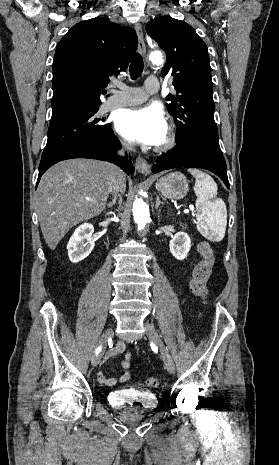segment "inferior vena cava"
<instances>
[{
	"mask_svg": "<svg viewBox=\"0 0 279 465\" xmlns=\"http://www.w3.org/2000/svg\"><path fill=\"white\" fill-rule=\"evenodd\" d=\"M122 145L125 150H130V151L134 150L133 143L123 142ZM119 153L122 154V152H119ZM121 173L122 172L118 167H116L115 165H111V175L109 179V192L114 194V196H117V195L120 196L119 193H122L120 190V183H119V178H118ZM121 204H122V199L120 197L119 205Z\"/></svg>",
	"mask_w": 279,
	"mask_h": 465,
	"instance_id": "obj_1",
	"label": "inferior vena cava"
}]
</instances>
